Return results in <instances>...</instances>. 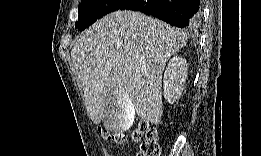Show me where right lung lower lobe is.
Listing matches in <instances>:
<instances>
[{
  "instance_id": "right-lung-lower-lobe-1",
  "label": "right lung lower lobe",
  "mask_w": 261,
  "mask_h": 156,
  "mask_svg": "<svg viewBox=\"0 0 261 156\" xmlns=\"http://www.w3.org/2000/svg\"><path fill=\"white\" fill-rule=\"evenodd\" d=\"M117 10L140 11L173 26L193 28L200 17V0H127Z\"/></svg>"
}]
</instances>
